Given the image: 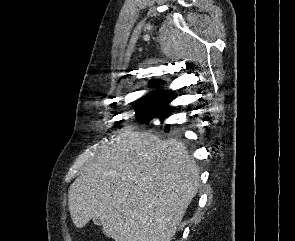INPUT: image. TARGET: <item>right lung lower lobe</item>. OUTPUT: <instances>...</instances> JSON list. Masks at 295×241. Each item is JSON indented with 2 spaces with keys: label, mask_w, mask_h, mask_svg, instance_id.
Returning a JSON list of instances; mask_svg holds the SVG:
<instances>
[{
  "label": "right lung lower lobe",
  "mask_w": 295,
  "mask_h": 241,
  "mask_svg": "<svg viewBox=\"0 0 295 241\" xmlns=\"http://www.w3.org/2000/svg\"><path fill=\"white\" fill-rule=\"evenodd\" d=\"M164 131L166 133H168L170 131V125H166L165 128H164Z\"/></svg>",
  "instance_id": "right-lung-lower-lobe-1"
}]
</instances>
